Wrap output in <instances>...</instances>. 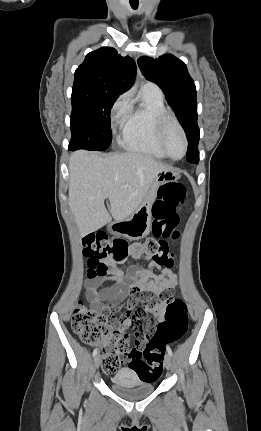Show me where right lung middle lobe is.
<instances>
[{"label":"right lung middle lobe","mask_w":261,"mask_h":431,"mask_svg":"<svg viewBox=\"0 0 261 431\" xmlns=\"http://www.w3.org/2000/svg\"><path fill=\"white\" fill-rule=\"evenodd\" d=\"M120 94L98 87L74 84L71 95L70 150H105L112 141L110 110Z\"/></svg>","instance_id":"obj_1"}]
</instances>
